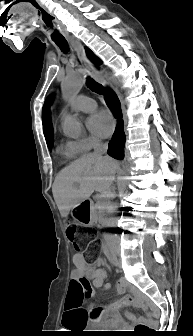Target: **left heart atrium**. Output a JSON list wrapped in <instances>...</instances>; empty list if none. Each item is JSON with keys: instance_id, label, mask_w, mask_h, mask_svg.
<instances>
[{"instance_id": "39dd6f15", "label": "left heart atrium", "mask_w": 193, "mask_h": 336, "mask_svg": "<svg viewBox=\"0 0 193 336\" xmlns=\"http://www.w3.org/2000/svg\"><path fill=\"white\" fill-rule=\"evenodd\" d=\"M87 127L94 135L105 138L111 134L114 121L107 111L101 110L88 118Z\"/></svg>"}]
</instances>
